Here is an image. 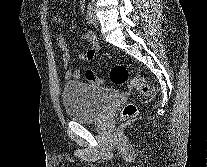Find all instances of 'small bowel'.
<instances>
[{"instance_id":"1","label":"small bowel","mask_w":207,"mask_h":167,"mask_svg":"<svg viewBox=\"0 0 207 167\" xmlns=\"http://www.w3.org/2000/svg\"><path fill=\"white\" fill-rule=\"evenodd\" d=\"M80 9H83V2H80ZM55 22L62 25L66 22V17L64 15L55 16ZM81 39L88 43V49L85 53L81 54L79 58L82 61L90 62L92 61L99 49L98 42L94 36V34L87 30L84 31L81 35ZM57 43L62 51V62L65 70V78L66 79H80L83 76V72L81 70H71L69 68L70 63V55L68 53V49L66 47L65 41L62 37L57 38Z\"/></svg>"}]
</instances>
